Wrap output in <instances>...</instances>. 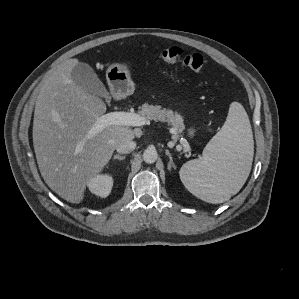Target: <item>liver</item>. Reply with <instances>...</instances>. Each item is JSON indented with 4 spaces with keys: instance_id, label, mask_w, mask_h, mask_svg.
Wrapping results in <instances>:
<instances>
[{
    "instance_id": "1",
    "label": "liver",
    "mask_w": 299,
    "mask_h": 299,
    "mask_svg": "<svg viewBox=\"0 0 299 299\" xmlns=\"http://www.w3.org/2000/svg\"><path fill=\"white\" fill-rule=\"evenodd\" d=\"M78 59L57 66L43 84L35 104L33 145L45 183L61 198L78 204L86 186L111 159L119 142L133 140L129 126L110 125L94 136L89 130L106 112L102 99L71 79ZM81 144L82 150L76 152Z\"/></svg>"
}]
</instances>
